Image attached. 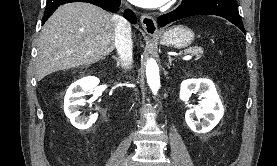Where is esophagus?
I'll return each mask as SVG.
<instances>
[{
  "instance_id": "esophagus-1",
  "label": "esophagus",
  "mask_w": 277,
  "mask_h": 166,
  "mask_svg": "<svg viewBox=\"0 0 277 166\" xmlns=\"http://www.w3.org/2000/svg\"><path fill=\"white\" fill-rule=\"evenodd\" d=\"M140 20H141V25L143 29L149 35H157L161 32L157 26L155 19L152 16L142 15Z\"/></svg>"
}]
</instances>
